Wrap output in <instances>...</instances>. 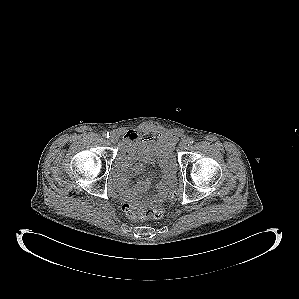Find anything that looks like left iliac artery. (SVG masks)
Here are the masks:
<instances>
[{
	"label": "left iliac artery",
	"instance_id": "44dca946",
	"mask_svg": "<svg viewBox=\"0 0 299 299\" xmlns=\"http://www.w3.org/2000/svg\"><path fill=\"white\" fill-rule=\"evenodd\" d=\"M194 143L193 139H188V146L192 145Z\"/></svg>",
	"mask_w": 299,
	"mask_h": 299
}]
</instances>
